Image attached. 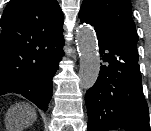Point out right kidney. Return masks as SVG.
Instances as JSON below:
<instances>
[{
  "label": "right kidney",
  "mask_w": 151,
  "mask_h": 131,
  "mask_svg": "<svg viewBox=\"0 0 151 131\" xmlns=\"http://www.w3.org/2000/svg\"><path fill=\"white\" fill-rule=\"evenodd\" d=\"M16 118H17V116L12 115V116H11L12 122H14V121L16 120ZM21 123H22V120H21L20 124H21ZM25 124H28V118L25 119ZM18 130H19V129H18V127H16V126L10 127V131H18Z\"/></svg>",
  "instance_id": "right-kidney-1"
}]
</instances>
